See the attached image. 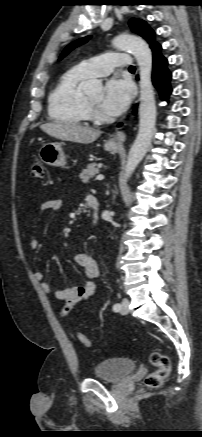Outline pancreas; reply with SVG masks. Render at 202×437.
Here are the masks:
<instances>
[{
  "mask_svg": "<svg viewBox=\"0 0 202 437\" xmlns=\"http://www.w3.org/2000/svg\"><path fill=\"white\" fill-rule=\"evenodd\" d=\"M98 172L99 169L97 168V164L91 163L80 173L79 177L83 183H88Z\"/></svg>",
  "mask_w": 202,
  "mask_h": 437,
  "instance_id": "1",
  "label": "pancreas"
}]
</instances>
